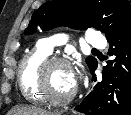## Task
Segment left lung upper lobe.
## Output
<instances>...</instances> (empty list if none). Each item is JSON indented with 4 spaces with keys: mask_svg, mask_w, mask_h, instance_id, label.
<instances>
[{
    "mask_svg": "<svg viewBox=\"0 0 131 115\" xmlns=\"http://www.w3.org/2000/svg\"><path fill=\"white\" fill-rule=\"evenodd\" d=\"M130 17L127 0H52L33 13L25 34L33 33L37 26L49 30L64 25L80 30L94 27L108 38ZM86 63L91 69L97 64V60L89 56Z\"/></svg>",
    "mask_w": 131,
    "mask_h": 115,
    "instance_id": "left-lung-upper-lobe-1",
    "label": "left lung upper lobe"
}]
</instances>
